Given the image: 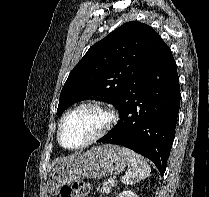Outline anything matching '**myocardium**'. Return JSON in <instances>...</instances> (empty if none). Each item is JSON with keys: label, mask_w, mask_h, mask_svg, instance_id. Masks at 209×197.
Masks as SVG:
<instances>
[{"label": "myocardium", "mask_w": 209, "mask_h": 197, "mask_svg": "<svg viewBox=\"0 0 209 197\" xmlns=\"http://www.w3.org/2000/svg\"><path fill=\"white\" fill-rule=\"evenodd\" d=\"M85 107H93V108H97L103 111L106 114L107 120L105 124L103 125V127L98 132H96L93 136L88 138L86 141L73 147H67L63 144L62 138H61L63 126L69 116H71L76 111ZM116 122H117V112L112 104L105 102V101L98 100V99L86 100L77 104L76 106H74L72 109H70L63 115L59 124L58 132H57V139H58L59 144L63 148L68 149V150H78L103 138L105 135L109 133L112 127L116 124Z\"/></svg>", "instance_id": "f54148a6"}]
</instances>
